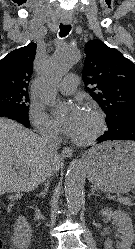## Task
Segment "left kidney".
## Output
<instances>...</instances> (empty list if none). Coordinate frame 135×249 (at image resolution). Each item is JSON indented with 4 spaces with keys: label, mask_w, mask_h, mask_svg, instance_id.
Returning a JSON list of instances; mask_svg holds the SVG:
<instances>
[{
    "label": "left kidney",
    "mask_w": 135,
    "mask_h": 249,
    "mask_svg": "<svg viewBox=\"0 0 135 249\" xmlns=\"http://www.w3.org/2000/svg\"><path fill=\"white\" fill-rule=\"evenodd\" d=\"M101 216L111 217L114 224L122 235V241L119 243V249H131L132 243L135 239L131 218L121 210L112 211L111 209H103L100 211ZM105 249H113L112 242L106 240L104 242Z\"/></svg>",
    "instance_id": "5707ae66"
}]
</instances>
